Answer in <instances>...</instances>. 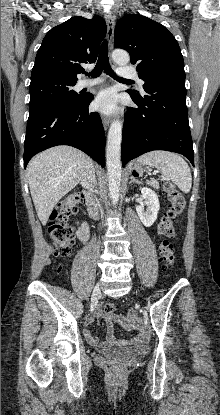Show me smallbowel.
Returning a JSON list of instances; mask_svg holds the SVG:
<instances>
[{
	"label": "small bowel",
	"instance_id": "obj_1",
	"mask_svg": "<svg viewBox=\"0 0 220 415\" xmlns=\"http://www.w3.org/2000/svg\"><path fill=\"white\" fill-rule=\"evenodd\" d=\"M89 230H90V226L87 222H80L78 224L77 236L84 243H87L89 241V238H90ZM101 316H103L102 313L98 311L94 317H91L87 320L86 325L83 329L84 336L90 345L99 347L101 351L105 352L109 350L112 345L127 346L130 344L136 345V344L141 343L140 337H137L132 341L116 340L113 336V330L111 326H109L108 339L104 342H100L98 338L92 333L90 329V325L94 323L96 317H101ZM108 319L111 320L112 317H108Z\"/></svg>",
	"mask_w": 220,
	"mask_h": 415
}]
</instances>
